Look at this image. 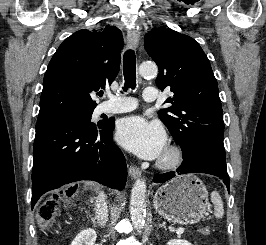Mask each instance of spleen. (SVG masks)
<instances>
[{"label": "spleen", "mask_w": 266, "mask_h": 245, "mask_svg": "<svg viewBox=\"0 0 266 245\" xmlns=\"http://www.w3.org/2000/svg\"><path fill=\"white\" fill-rule=\"evenodd\" d=\"M211 201L214 205V211H215L214 215H215L216 219H222V217L224 215L223 201H222L219 193H217V191H212Z\"/></svg>", "instance_id": "1"}]
</instances>
